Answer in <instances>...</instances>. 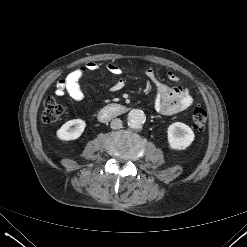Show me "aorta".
<instances>
[{
    "label": "aorta",
    "mask_w": 247,
    "mask_h": 247,
    "mask_svg": "<svg viewBox=\"0 0 247 247\" xmlns=\"http://www.w3.org/2000/svg\"><path fill=\"white\" fill-rule=\"evenodd\" d=\"M146 121L145 113L140 109H132L127 116V123L131 128L139 129Z\"/></svg>",
    "instance_id": "762f6f07"
}]
</instances>
